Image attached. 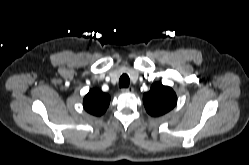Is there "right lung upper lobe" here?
<instances>
[{
	"instance_id": "1",
	"label": "right lung upper lobe",
	"mask_w": 249,
	"mask_h": 165,
	"mask_svg": "<svg viewBox=\"0 0 249 165\" xmlns=\"http://www.w3.org/2000/svg\"><path fill=\"white\" fill-rule=\"evenodd\" d=\"M110 103V96L98 89H91L84 97V109L95 116L102 115L108 108Z\"/></svg>"
}]
</instances>
